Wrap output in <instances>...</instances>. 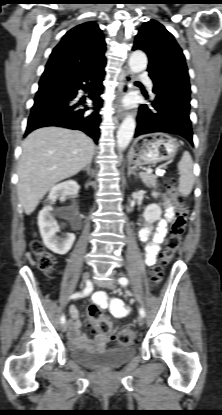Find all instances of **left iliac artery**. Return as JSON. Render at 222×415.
<instances>
[{"instance_id":"left-iliac-artery-1","label":"left iliac artery","mask_w":222,"mask_h":415,"mask_svg":"<svg viewBox=\"0 0 222 415\" xmlns=\"http://www.w3.org/2000/svg\"><path fill=\"white\" fill-rule=\"evenodd\" d=\"M119 284L126 286L128 284V279L126 277H121L118 280ZM139 313L142 317L145 316V310L143 308H140Z\"/></svg>"}]
</instances>
